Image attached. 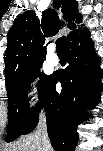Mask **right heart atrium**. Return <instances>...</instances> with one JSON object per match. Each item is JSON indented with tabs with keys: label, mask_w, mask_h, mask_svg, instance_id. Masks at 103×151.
<instances>
[{
	"label": "right heart atrium",
	"mask_w": 103,
	"mask_h": 151,
	"mask_svg": "<svg viewBox=\"0 0 103 151\" xmlns=\"http://www.w3.org/2000/svg\"><path fill=\"white\" fill-rule=\"evenodd\" d=\"M25 100L30 108L35 107L40 102V89L37 79L31 80L25 89Z\"/></svg>",
	"instance_id": "d8ad5b80"
}]
</instances>
